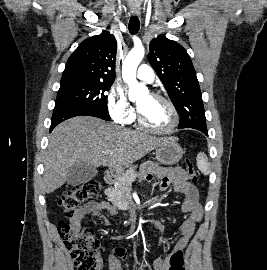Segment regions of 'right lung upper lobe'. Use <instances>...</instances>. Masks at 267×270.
I'll list each match as a JSON object with an SVG mask.
<instances>
[{"mask_svg": "<svg viewBox=\"0 0 267 270\" xmlns=\"http://www.w3.org/2000/svg\"><path fill=\"white\" fill-rule=\"evenodd\" d=\"M117 42L108 31L84 40L69 57L61 80L114 81Z\"/></svg>", "mask_w": 267, "mask_h": 270, "instance_id": "cb5924a9", "label": "right lung upper lobe"}]
</instances>
